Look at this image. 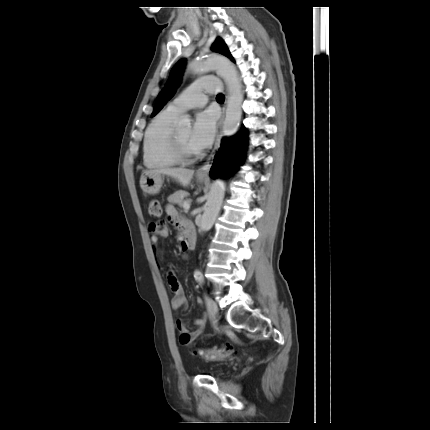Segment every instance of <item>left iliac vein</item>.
I'll list each match as a JSON object with an SVG mask.
<instances>
[{
	"label": "left iliac vein",
	"instance_id": "obj_1",
	"mask_svg": "<svg viewBox=\"0 0 430 430\" xmlns=\"http://www.w3.org/2000/svg\"><path fill=\"white\" fill-rule=\"evenodd\" d=\"M206 306L210 316L216 319L218 313L217 303L210 297H206Z\"/></svg>",
	"mask_w": 430,
	"mask_h": 430
}]
</instances>
